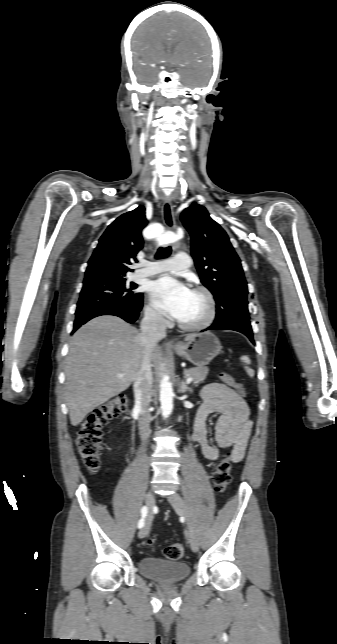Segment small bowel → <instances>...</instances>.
<instances>
[{
  "mask_svg": "<svg viewBox=\"0 0 337 644\" xmlns=\"http://www.w3.org/2000/svg\"><path fill=\"white\" fill-rule=\"evenodd\" d=\"M202 404L198 409L193 441L209 461L218 460L219 449L231 448V460L240 462L246 453L252 431L249 408L244 399L234 390L219 383H212L201 391ZM218 414L214 429V439L210 438L207 419ZM152 516H150V526Z\"/></svg>",
  "mask_w": 337,
  "mask_h": 644,
  "instance_id": "c3829d8e",
  "label": "small bowel"
}]
</instances>
